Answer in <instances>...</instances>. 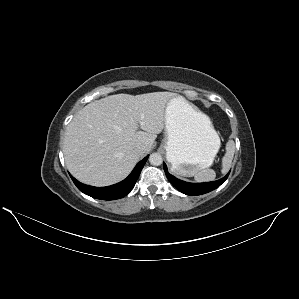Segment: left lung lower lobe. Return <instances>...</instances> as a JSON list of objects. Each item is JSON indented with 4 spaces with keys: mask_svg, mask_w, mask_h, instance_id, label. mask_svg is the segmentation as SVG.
Instances as JSON below:
<instances>
[{
    "mask_svg": "<svg viewBox=\"0 0 299 299\" xmlns=\"http://www.w3.org/2000/svg\"><path fill=\"white\" fill-rule=\"evenodd\" d=\"M165 174L170 181V183L177 188L180 192L186 195H201L208 193L216 188H218L228 177L229 173L220 180L206 183H188L177 179L168 173L167 166L164 163Z\"/></svg>",
    "mask_w": 299,
    "mask_h": 299,
    "instance_id": "0a47b994",
    "label": "left lung lower lobe"
}]
</instances>
